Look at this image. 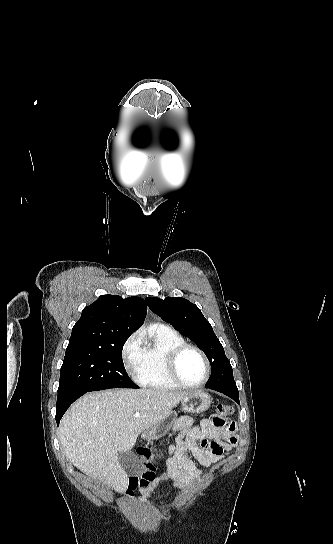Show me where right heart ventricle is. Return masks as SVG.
<instances>
[{"label":"right heart ventricle","mask_w":333,"mask_h":544,"mask_svg":"<svg viewBox=\"0 0 333 544\" xmlns=\"http://www.w3.org/2000/svg\"><path fill=\"white\" fill-rule=\"evenodd\" d=\"M183 343L184 338L175 330L162 325L152 326L141 340L138 383L158 390L177 388L167 374L166 358L173 348Z\"/></svg>","instance_id":"1"}]
</instances>
